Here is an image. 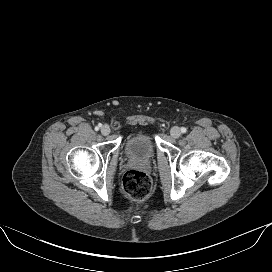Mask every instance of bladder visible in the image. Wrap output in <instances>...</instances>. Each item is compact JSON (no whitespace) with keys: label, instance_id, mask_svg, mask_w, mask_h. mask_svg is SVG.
I'll list each match as a JSON object with an SVG mask.
<instances>
[{"label":"bladder","instance_id":"1","mask_svg":"<svg viewBox=\"0 0 272 272\" xmlns=\"http://www.w3.org/2000/svg\"><path fill=\"white\" fill-rule=\"evenodd\" d=\"M155 143L147 133H136L131 135L124 146L127 157L133 160L146 161L155 154Z\"/></svg>","mask_w":272,"mask_h":272}]
</instances>
